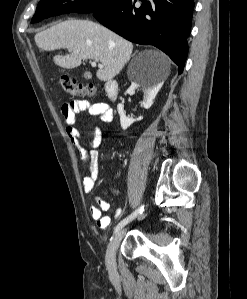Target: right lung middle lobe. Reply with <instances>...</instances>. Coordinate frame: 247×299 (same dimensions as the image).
Listing matches in <instances>:
<instances>
[{
  "label": "right lung middle lobe",
  "instance_id": "obj_1",
  "mask_svg": "<svg viewBox=\"0 0 247 299\" xmlns=\"http://www.w3.org/2000/svg\"><path fill=\"white\" fill-rule=\"evenodd\" d=\"M121 0H40L31 23L65 13H94Z\"/></svg>",
  "mask_w": 247,
  "mask_h": 299
}]
</instances>
